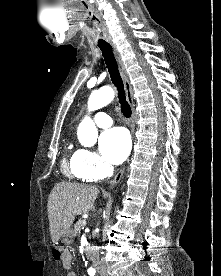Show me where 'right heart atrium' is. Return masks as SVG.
Here are the masks:
<instances>
[{
  "label": "right heart atrium",
  "mask_w": 221,
  "mask_h": 276,
  "mask_svg": "<svg viewBox=\"0 0 221 276\" xmlns=\"http://www.w3.org/2000/svg\"><path fill=\"white\" fill-rule=\"evenodd\" d=\"M79 165L87 180L102 178L110 172L109 165L98 154L86 149L79 150Z\"/></svg>",
  "instance_id": "right-heart-atrium-1"
}]
</instances>
